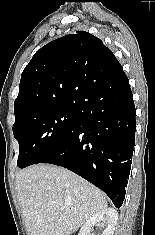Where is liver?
I'll return each instance as SVG.
<instances>
[{
    "mask_svg": "<svg viewBox=\"0 0 155 235\" xmlns=\"http://www.w3.org/2000/svg\"><path fill=\"white\" fill-rule=\"evenodd\" d=\"M15 182L28 235H70L108 207L99 189L62 167L34 165Z\"/></svg>",
    "mask_w": 155,
    "mask_h": 235,
    "instance_id": "obj_1",
    "label": "liver"
}]
</instances>
